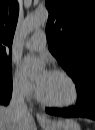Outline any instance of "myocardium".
Returning a JSON list of instances; mask_svg holds the SVG:
<instances>
[{
    "label": "myocardium",
    "mask_w": 95,
    "mask_h": 130,
    "mask_svg": "<svg viewBox=\"0 0 95 130\" xmlns=\"http://www.w3.org/2000/svg\"><path fill=\"white\" fill-rule=\"evenodd\" d=\"M50 73H55V74H59L64 76L72 85L73 87V91H74V96L73 99L70 102L67 103H56V102H52L47 100L46 98H44V96L42 95L39 86L37 87V98L38 100L47 105V106H51V107H70L73 106L77 103L78 99H79V87L76 83V81L74 80V78L67 73L66 71L62 70V69H53L50 71Z\"/></svg>",
    "instance_id": "obj_1"
}]
</instances>
